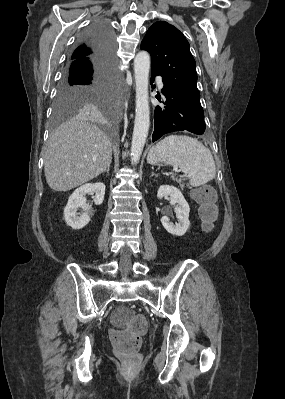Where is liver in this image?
Listing matches in <instances>:
<instances>
[{
  "label": "liver",
  "mask_w": 285,
  "mask_h": 399,
  "mask_svg": "<svg viewBox=\"0 0 285 399\" xmlns=\"http://www.w3.org/2000/svg\"><path fill=\"white\" fill-rule=\"evenodd\" d=\"M112 160L109 137L78 115L54 130L44 156L47 184L68 191L103 173Z\"/></svg>",
  "instance_id": "liver-1"
}]
</instances>
